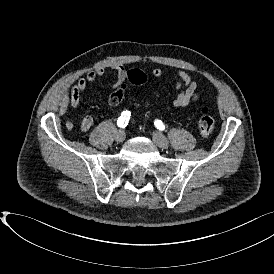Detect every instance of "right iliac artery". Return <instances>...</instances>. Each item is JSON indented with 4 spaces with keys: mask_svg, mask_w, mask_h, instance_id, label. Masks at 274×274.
<instances>
[{
    "mask_svg": "<svg viewBox=\"0 0 274 274\" xmlns=\"http://www.w3.org/2000/svg\"><path fill=\"white\" fill-rule=\"evenodd\" d=\"M130 119V112L124 111L122 115L117 120V125L121 128H125L128 125Z\"/></svg>",
    "mask_w": 274,
    "mask_h": 274,
    "instance_id": "obj_1",
    "label": "right iliac artery"
}]
</instances>
